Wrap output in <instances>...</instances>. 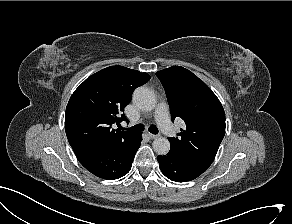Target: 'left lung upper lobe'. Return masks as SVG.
Segmentation results:
<instances>
[{
  "label": "left lung upper lobe",
  "mask_w": 292,
  "mask_h": 224,
  "mask_svg": "<svg viewBox=\"0 0 292 224\" xmlns=\"http://www.w3.org/2000/svg\"><path fill=\"white\" fill-rule=\"evenodd\" d=\"M172 115L184 120L179 137L168 138L170 152L207 170L225 135V112L212 90L196 75L181 66L158 71Z\"/></svg>",
  "instance_id": "1"
}]
</instances>
